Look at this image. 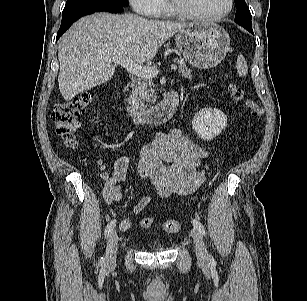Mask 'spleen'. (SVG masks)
<instances>
[{
	"label": "spleen",
	"instance_id": "3e777b00",
	"mask_svg": "<svg viewBox=\"0 0 307 301\" xmlns=\"http://www.w3.org/2000/svg\"><path fill=\"white\" fill-rule=\"evenodd\" d=\"M237 71L240 76H245L248 72L247 62L243 55H239L236 63Z\"/></svg>",
	"mask_w": 307,
	"mask_h": 301
}]
</instances>
